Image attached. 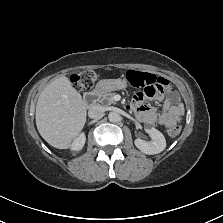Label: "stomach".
Segmentation results:
<instances>
[{
  "label": "stomach",
  "mask_w": 223,
  "mask_h": 223,
  "mask_svg": "<svg viewBox=\"0 0 223 223\" xmlns=\"http://www.w3.org/2000/svg\"><path fill=\"white\" fill-rule=\"evenodd\" d=\"M127 82L123 79H108L101 80L96 86V90L100 93L106 92L107 90L114 91L126 88Z\"/></svg>",
  "instance_id": "obj_1"
}]
</instances>
